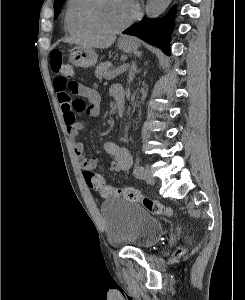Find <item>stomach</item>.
<instances>
[{
	"label": "stomach",
	"mask_w": 245,
	"mask_h": 300,
	"mask_svg": "<svg viewBox=\"0 0 245 300\" xmlns=\"http://www.w3.org/2000/svg\"><path fill=\"white\" fill-rule=\"evenodd\" d=\"M118 46L122 51L131 53L139 48V43L132 37H122L118 41ZM69 52V60L75 66L88 68L97 63L98 55L93 48L75 47Z\"/></svg>",
	"instance_id": "stomach-1"
}]
</instances>
